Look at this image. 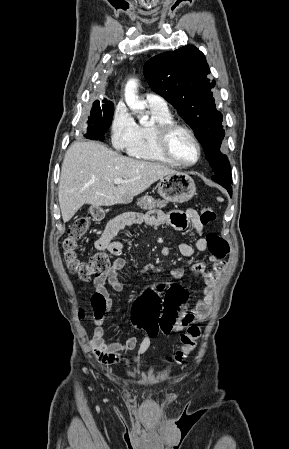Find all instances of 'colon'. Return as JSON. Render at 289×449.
<instances>
[{
    "label": "colon",
    "mask_w": 289,
    "mask_h": 449,
    "mask_svg": "<svg viewBox=\"0 0 289 449\" xmlns=\"http://www.w3.org/2000/svg\"><path fill=\"white\" fill-rule=\"evenodd\" d=\"M201 221L209 224L216 219V213L210 205L201 206ZM90 224V216L83 215L76 218L62 240L64 260L69 272L82 280L98 276L111 266V253L100 250L95 252L88 260L83 261L77 255L78 241L84 236ZM208 250L211 255L225 258L230 250L228 242L218 234L210 232L206 236ZM187 298V292L181 286L173 285L165 293L164 300L157 293L151 292L148 296H140L132 311L133 324L143 330L151 338L158 334H170L179 320L181 307ZM91 303L96 316L105 311L104 298L95 293ZM201 336V329L197 325H189L187 331L181 336L182 346L175 353V361L181 363L195 349Z\"/></svg>",
    "instance_id": "5ec220e1"
}]
</instances>
